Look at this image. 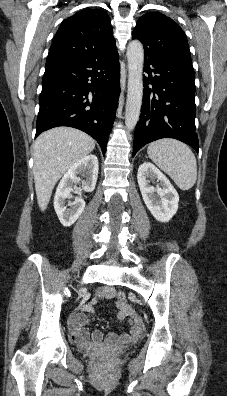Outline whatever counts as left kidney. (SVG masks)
I'll return each instance as SVG.
<instances>
[{
    "label": "left kidney",
    "mask_w": 227,
    "mask_h": 396,
    "mask_svg": "<svg viewBox=\"0 0 227 396\" xmlns=\"http://www.w3.org/2000/svg\"><path fill=\"white\" fill-rule=\"evenodd\" d=\"M155 179L160 182L151 186ZM137 180L143 200L157 221L168 222L177 212L179 196L168 178L152 163L144 162L138 168Z\"/></svg>",
    "instance_id": "left-kidney-1"
}]
</instances>
